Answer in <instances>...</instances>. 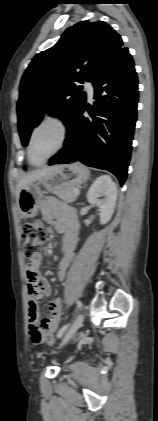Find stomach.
<instances>
[{
	"mask_svg": "<svg viewBox=\"0 0 158 421\" xmlns=\"http://www.w3.org/2000/svg\"><path fill=\"white\" fill-rule=\"evenodd\" d=\"M89 170L81 163L61 165L38 181L25 184L18 196V205L23 217L33 218L38 213L42 198L40 187L57 191L76 187L89 179Z\"/></svg>",
	"mask_w": 158,
	"mask_h": 421,
	"instance_id": "1",
	"label": "stomach"
}]
</instances>
